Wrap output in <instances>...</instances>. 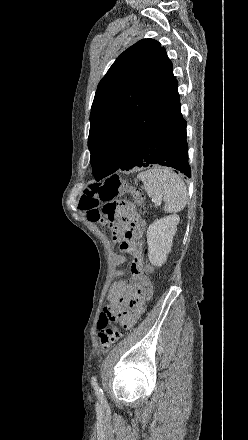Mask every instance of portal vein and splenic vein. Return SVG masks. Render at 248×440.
I'll list each match as a JSON object with an SVG mask.
<instances>
[{"label":"portal vein and splenic vein","instance_id":"portal-vein-and-splenic-vein-1","mask_svg":"<svg viewBox=\"0 0 248 440\" xmlns=\"http://www.w3.org/2000/svg\"><path fill=\"white\" fill-rule=\"evenodd\" d=\"M152 202H155V203H156V200H152Z\"/></svg>","mask_w":248,"mask_h":440}]
</instances>
